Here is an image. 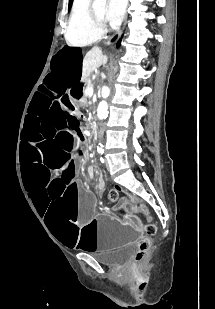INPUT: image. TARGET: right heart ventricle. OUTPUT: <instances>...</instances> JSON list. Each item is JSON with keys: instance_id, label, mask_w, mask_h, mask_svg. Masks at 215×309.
I'll return each instance as SVG.
<instances>
[{"instance_id": "1", "label": "right heart ventricle", "mask_w": 215, "mask_h": 309, "mask_svg": "<svg viewBox=\"0 0 215 309\" xmlns=\"http://www.w3.org/2000/svg\"><path fill=\"white\" fill-rule=\"evenodd\" d=\"M64 29L66 43L73 48L85 47L88 42H98L100 36L99 31L92 27L86 9L73 10Z\"/></svg>"}]
</instances>
